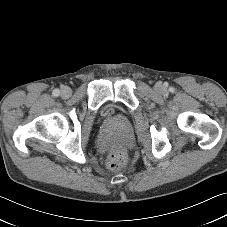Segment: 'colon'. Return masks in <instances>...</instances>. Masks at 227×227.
<instances>
[{
    "mask_svg": "<svg viewBox=\"0 0 227 227\" xmlns=\"http://www.w3.org/2000/svg\"><path fill=\"white\" fill-rule=\"evenodd\" d=\"M126 160V152L121 144H116L110 149L107 166L110 171L120 170Z\"/></svg>",
    "mask_w": 227,
    "mask_h": 227,
    "instance_id": "obj_1",
    "label": "colon"
}]
</instances>
